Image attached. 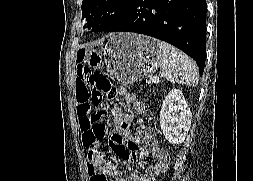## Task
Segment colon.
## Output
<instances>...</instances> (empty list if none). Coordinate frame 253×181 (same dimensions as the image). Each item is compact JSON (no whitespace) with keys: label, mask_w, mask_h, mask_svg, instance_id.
<instances>
[{"label":"colon","mask_w":253,"mask_h":181,"mask_svg":"<svg viewBox=\"0 0 253 181\" xmlns=\"http://www.w3.org/2000/svg\"><path fill=\"white\" fill-rule=\"evenodd\" d=\"M99 55H103L102 47H84L78 54L81 65L88 69V89L82 100L84 109L79 122L83 144L89 150L88 157L95 162H100L103 158L100 143L105 136V126L101 122L102 112H95L93 107L103 100L111 101L118 97V89L110 79L92 70L99 64Z\"/></svg>","instance_id":"1"}]
</instances>
